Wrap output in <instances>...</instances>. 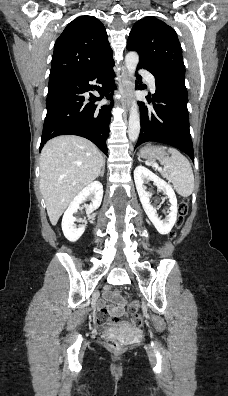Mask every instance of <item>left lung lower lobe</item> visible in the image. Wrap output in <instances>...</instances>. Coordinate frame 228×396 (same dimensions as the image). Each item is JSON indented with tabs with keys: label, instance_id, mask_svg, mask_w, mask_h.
I'll return each instance as SVG.
<instances>
[{
	"label": "left lung lower lobe",
	"instance_id": "0a47b994",
	"mask_svg": "<svg viewBox=\"0 0 228 396\" xmlns=\"http://www.w3.org/2000/svg\"><path fill=\"white\" fill-rule=\"evenodd\" d=\"M155 80L156 92L152 98L147 97L152 107L138 102L141 129L135 148L145 142L165 143L180 149L194 161L185 80L175 76H155Z\"/></svg>",
	"mask_w": 228,
	"mask_h": 396
}]
</instances>
